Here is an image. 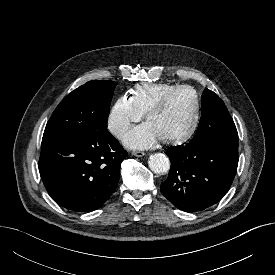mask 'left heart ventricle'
Wrapping results in <instances>:
<instances>
[{
  "mask_svg": "<svg viewBox=\"0 0 275 275\" xmlns=\"http://www.w3.org/2000/svg\"><path fill=\"white\" fill-rule=\"evenodd\" d=\"M195 109L194 94L182 90L173 94L166 106L148 120L160 139L171 138L184 133L191 124Z\"/></svg>",
  "mask_w": 275,
  "mask_h": 275,
  "instance_id": "left-heart-ventricle-1",
  "label": "left heart ventricle"
}]
</instances>
